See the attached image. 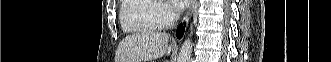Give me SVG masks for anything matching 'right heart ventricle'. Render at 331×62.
Segmentation results:
<instances>
[{"label": "right heart ventricle", "mask_w": 331, "mask_h": 62, "mask_svg": "<svg viewBox=\"0 0 331 62\" xmlns=\"http://www.w3.org/2000/svg\"><path fill=\"white\" fill-rule=\"evenodd\" d=\"M153 5L147 0H124L120 19L126 31L153 32L156 27L151 21Z\"/></svg>", "instance_id": "obj_1"}]
</instances>
